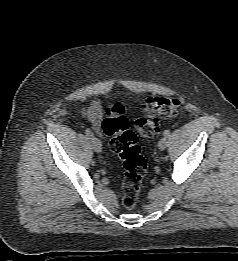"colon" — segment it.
I'll list each match as a JSON object with an SVG mask.
<instances>
[{
    "label": "colon",
    "mask_w": 238,
    "mask_h": 261,
    "mask_svg": "<svg viewBox=\"0 0 238 261\" xmlns=\"http://www.w3.org/2000/svg\"><path fill=\"white\" fill-rule=\"evenodd\" d=\"M181 101L177 98L153 96L142 105V115L135 120L136 131L144 137H155L159 132L158 118L177 116ZM103 132L110 137L109 147L119 156L124 167L122 204L126 209L136 206L147 164L141 154L136 134L130 130L125 108L116 103L106 110Z\"/></svg>",
    "instance_id": "obj_1"
}]
</instances>
